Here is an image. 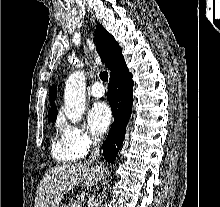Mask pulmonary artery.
Here are the masks:
<instances>
[{
  "instance_id": "1",
  "label": "pulmonary artery",
  "mask_w": 220,
  "mask_h": 207,
  "mask_svg": "<svg viewBox=\"0 0 220 207\" xmlns=\"http://www.w3.org/2000/svg\"><path fill=\"white\" fill-rule=\"evenodd\" d=\"M92 97L100 98L105 94V89L101 83H94L90 91Z\"/></svg>"
}]
</instances>
